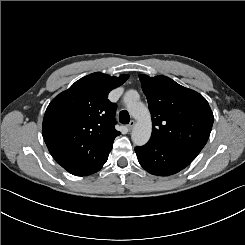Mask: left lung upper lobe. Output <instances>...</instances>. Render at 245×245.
Here are the masks:
<instances>
[{
    "label": "left lung upper lobe",
    "instance_id": "obj_1",
    "mask_svg": "<svg viewBox=\"0 0 245 245\" xmlns=\"http://www.w3.org/2000/svg\"><path fill=\"white\" fill-rule=\"evenodd\" d=\"M139 78L152 117L150 140L194 159L207 143L214 121L206 99L166 76Z\"/></svg>",
    "mask_w": 245,
    "mask_h": 245
}]
</instances>
